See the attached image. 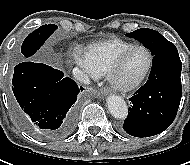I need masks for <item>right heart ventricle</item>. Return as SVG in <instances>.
Listing matches in <instances>:
<instances>
[{
    "mask_svg": "<svg viewBox=\"0 0 190 165\" xmlns=\"http://www.w3.org/2000/svg\"><path fill=\"white\" fill-rule=\"evenodd\" d=\"M133 45L134 43L121 38H111L90 44L85 53L95 76L107 75L119 54Z\"/></svg>",
    "mask_w": 190,
    "mask_h": 165,
    "instance_id": "right-heart-ventricle-1",
    "label": "right heart ventricle"
}]
</instances>
